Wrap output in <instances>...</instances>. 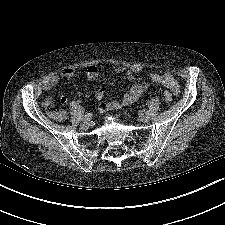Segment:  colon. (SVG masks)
I'll return each instance as SVG.
<instances>
[{
    "instance_id": "obj_1",
    "label": "colon",
    "mask_w": 225,
    "mask_h": 225,
    "mask_svg": "<svg viewBox=\"0 0 225 225\" xmlns=\"http://www.w3.org/2000/svg\"><path fill=\"white\" fill-rule=\"evenodd\" d=\"M163 98L165 102L169 103L172 100V94L169 91H164L163 92ZM62 116H64V113L61 112Z\"/></svg>"
}]
</instances>
